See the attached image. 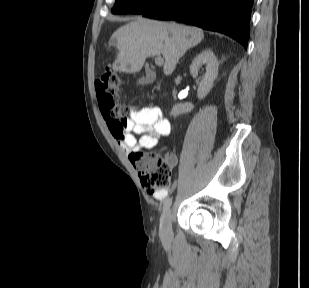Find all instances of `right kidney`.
Returning a JSON list of instances; mask_svg holds the SVG:
<instances>
[{"label": "right kidney", "instance_id": "1", "mask_svg": "<svg viewBox=\"0 0 309 288\" xmlns=\"http://www.w3.org/2000/svg\"><path fill=\"white\" fill-rule=\"evenodd\" d=\"M206 65V71L203 78L197 79L199 68ZM218 61L214 53L210 50L202 51L192 62L190 66V74L196 79L198 84L197 97L203 99L210 92L213 87L214 80L218 74ZM194 106L192 103H184L175 105L172 108L171 114L176 117L180 114L191 112Z\"/></svg>", "mask_w": 309, "mask_h": 288}]
</instances>
